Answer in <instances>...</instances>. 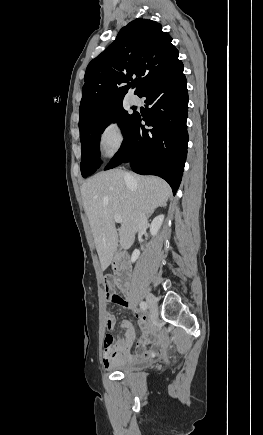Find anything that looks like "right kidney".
<instances>
[{
    "mask_svg": "<svg viewBox=\"0 0 263 435\" xmlns=\"http://www.w3.org/2000/svg\"><path fill=\"white\" fill-rule=\"evenodd\" d=\"M164 220V215H159L153 219L150 224V233L156 236ZM140 252L135 250L131 256V262L134 263L139 258Z\"/></svg>",
    "mask_w": 263,
    "mask_h": 435,
    "instance_id": "ca27d5eb",
    "label": "right kidney"
}]
</instances>
